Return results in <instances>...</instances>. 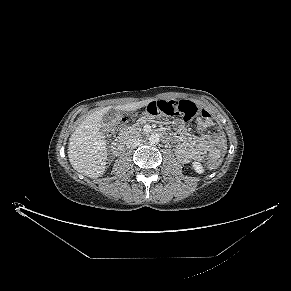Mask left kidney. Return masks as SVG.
I'll return each mask as SVG.
<instances>
[{
    "mask_svg": "<svg viewBox=\"0 0 291 291\" xmlns=\"http://www.w3.org/2000/svg\"><path fill=\"white\" fill-rule=\"evenodd\" d=\"M192 167L198 174H202L204 172V168L199 162H193Z\"/></svg>",
    "mask_w": 291,
    "mask_h": 291,
    "instance_id": "left-kidney-1",
    "label": "left kidney"
}]
</instances>
